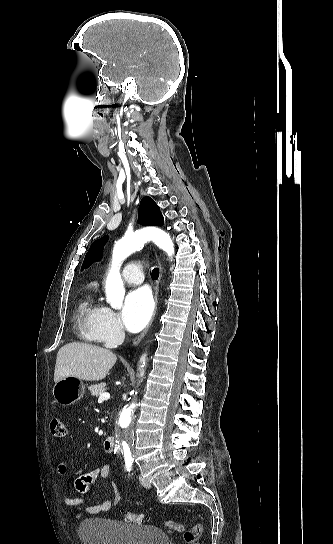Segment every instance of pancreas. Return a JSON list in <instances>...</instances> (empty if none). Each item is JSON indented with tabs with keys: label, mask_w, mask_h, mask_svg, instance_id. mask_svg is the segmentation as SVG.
Returning <instances> with one entry per match:
<instances>
[{
	"label": "pancreas",
	"mask_w": 333,
	"mask_h": 544,
	"mask_svg": "<svg viewBox=\"0 0 333 544\" xmlns=\"http://www.w3.org/2000/svg\"><path fill=\"white\" fill-rule=\"evenodd\" d=\"M90 393L92 396H99L101 393L106 391V384H95L89 387Z\"/></svg>",
	"instance_id": "pancreas-1"
}]
</instances>
